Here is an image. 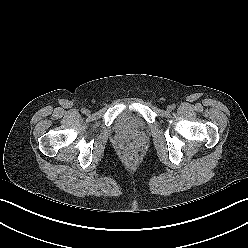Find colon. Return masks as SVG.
I'll use <instances>...</instances> for the list:
<instances>
[{"label":"colon","instance_id":"colon-1","mask_svg":"<svg viewBox=\"0 0 248 248\" xmlns=\"http://www.w3.org/2000/svg\"><path fill=\"white\" fill-rule=\"evenodd\" d=\"M123 159L127 164L133 165L137 162V154L134 151L127 150L123 153Z\"/></svg>","mask_w":248,"mask_h":248}]
</instances>
